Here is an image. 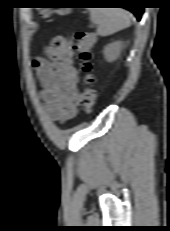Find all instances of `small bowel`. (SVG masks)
Listing matches in <instances>:
<instances>
[{"mask_svg":"<svg viewBox=\"0 0 170 231\" xmlns=\"http://www.w3.org/2000/svg\"><path fill=\"white\" fill-rule=\"evenodd\" d=\"M71 45V39L57 36L45 46L44 56L32 62L42 83L45 109L52 119L62 123L76 116L80 104Z\"/></svg>","mask_w":170,"mask_h":231,"instance_id":"obj_1","label":"small bowel"}]
</instances>
